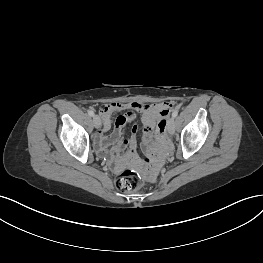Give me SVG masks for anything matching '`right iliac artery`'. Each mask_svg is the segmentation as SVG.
<instances>
[{"label": "right iliac artery", "mask_w": 263, "mask_h": 263, "mask_svg": "<svg viewBox=\"0 0 263 263\" xmlns=\"http://www.w3.org/2000/svg\"><path fill=\"white\" fill-rule=\"evenodd\" d=\"M88 114H89L90 116H94V111L89 110V111H88Z\"/></svg>", "instance_id": "1"}]
</instances>
